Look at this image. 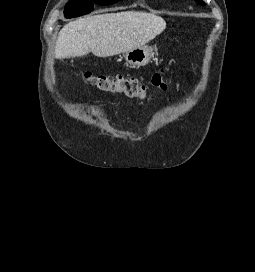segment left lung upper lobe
Listing matches in <instances>:
<instances>
[{"label": "left lung upper lobe", "instance_id": "left-lung-upper-lobe-1", "mask_svg": "<svg viewBox=\"0 0 255 272\" xmlns=\"http://www.w3.org/2000/svg\"><path fill=\"white\" fill-rule=\"evenodd\" d=\"M199 5H205V3L202 0H195Z\"/></svg>", "mask_w": 255, "mask_h": 272}]
</instances>
